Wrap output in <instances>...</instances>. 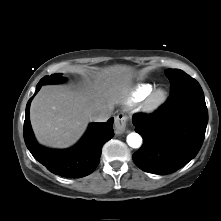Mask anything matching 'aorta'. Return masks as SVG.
I'll return each mask as SVG.
<instances>
[{
  "label": "aorta",
  "mask_w": 221,
  "mask_h": 221,
  "mask_svg": "<svg viewBox=\"0 0 221 221\" xmlns=\"http://www.w3.org/2000/svg\"><path fill=\"white\" fill-rule=\"evenodd\" d=\"M127 143L132 148H139L142 144V137L135 132L128 134Z\"/></svg>",
  "instance_id": "aorta-1"
}]
</instances>
